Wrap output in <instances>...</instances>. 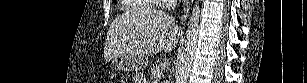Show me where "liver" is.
<instances>
[{
	"instance_id": "liver-1",
	"label": "liver",
	"mask_w": 307,
	"mask_h": 83,
	"mask_svg": "<svg viewBox=\"0 0 307 83\" xmlns=\"http://www.w3.org/2000/svg\"><path fill=\"white\" fill-rule=\"evenodd\" d=\"M180 30L172 16L156 10L123 14L115 19L107 33L104 59L117 55L144 56L161 50L171 52L178 42Z\"/></svg>"
}]
</instances>
